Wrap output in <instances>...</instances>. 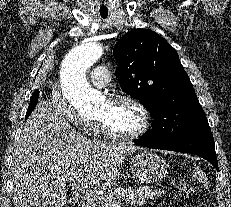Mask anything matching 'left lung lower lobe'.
<instances>
[{"mask_svg":"<svg viewBox=\"0 0 231 207\" xmlns=\"http://www.w3.org/2000/svg\"><path fill=\"white\" fill-rule=\"evenodd\" d=\"M134 142L136 145L149 148L192 153L206 159L218 170L214 139L211 132L195 133L168 143H155L144 137L136 139Z\"/></svg>","mask_w":231,"mask_h":207,"instance_id":"obj_1","label":"left lung lower lobe"}]
</instances>
